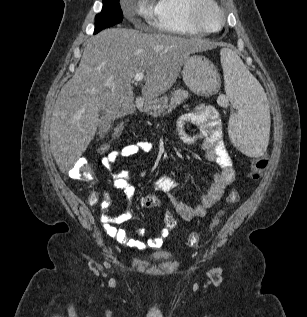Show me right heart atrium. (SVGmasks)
<instances>
[{"label": "right heart atrium", "mask_w": 307, "mask_h": 317, "mask_svg": "<svg viewBox=\"0 0 307 317\" xmlns=\"http://www.w3.org/2000/svg\"><path fill=\"white\" fill-rule=\"evenodd\" d=\"M135 12L139 15L149 18L151 16V9L149 7V3L146 0H141L137 7L135 8Z\"/></svg>", "instance_id": "d8ad5b80"}]
</instances>
